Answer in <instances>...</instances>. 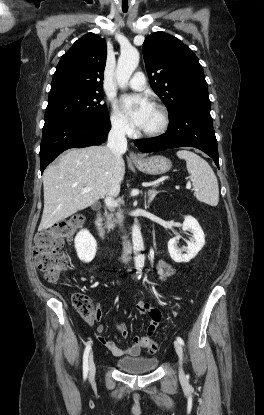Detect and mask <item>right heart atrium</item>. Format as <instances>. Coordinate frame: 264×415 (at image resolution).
<instances>
[{
  "mask_svg": "<svg viewBox=\"0 0 264 415\" xmlns=\"http://www.w3.org/2000/svg\"><path fill=\"white\" fill-rule=\"evenodd\" d=\"M111 125H112V129L121 135H128L132 132V129H131V126L128 120L115 107L112 109Z\"/></svg>",
  "mask_w": 264,
  "mask_h": 415,
  "instance_id": "1",
  "label": "right heart atrium"
}]
</instances>
